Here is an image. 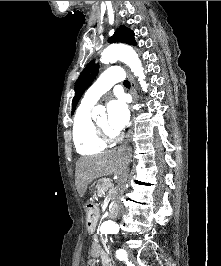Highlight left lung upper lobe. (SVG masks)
Returning a JSON list of instances; mask_svg holds the SVG:
<instances>
[{
  "label": "left lung upper lobe",
  "mask_w": 221,
  "mask_h": 266,
  "mask_svg": "<svg viewBox=\"0 0 221 266\" xmlns=\"http://www.w3.org/2000/svg\"><path fill=\"white\" fill-rule=\"evenodd\" d=\"M110 43L123 42L127 44L136 45L134 40V33L131 29L126 28L124 25L120 26L114 33L112 37L108 40ZM98 64L92 60L81 72L79 78L75 84V96L72 101V114L76 109L79 99L81 98L83 92L92 83L98 73Z\"/></svg>",
  "instance_id": "1"
}]
</instances>
